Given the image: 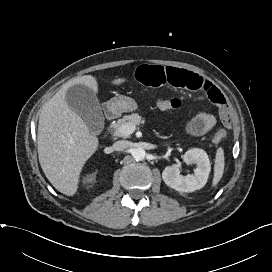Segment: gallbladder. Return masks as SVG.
Returning <instances> with one entry per match:
<instances>
[{
  "mask_svg": "<svg viewBox=\"0 0 272 272\" xmlns=\"http://www.w3.org/2000/svg\"><path fill=\"white\" fill-rule=\"evenodd\" d=\"M67 105L83 118L89 130L99 134L104 127V116L96 93L83 84H75L66 91Z\"/></svg>",
  "mask_w": 272,
  "mask_h": 272,
  "instance_id": "1",
  "label": "gallbladder"
}]
</instances>
